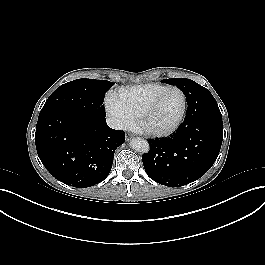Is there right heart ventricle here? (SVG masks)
Returning <instances> with one entry per match:
<instances>
[{
    "label": "right heart ventricle",
    "instance_id": "obj_1",
    "mask_svg": "<svg viewBox=\"0 0 265 265\" xmlns=\"http://www.w3.org/2000/svg\"><path fill=\"white\" fill-rule=\"evenodd\" d=\"M165 87V85L158 83H148L130 88H121L117 94L122 104L134 117V120H139L151 100Z\"/></svg>",
    "mask_w": 265,
    "mask_h": 265
}]
</instances>
